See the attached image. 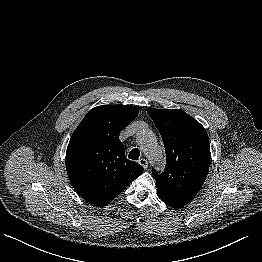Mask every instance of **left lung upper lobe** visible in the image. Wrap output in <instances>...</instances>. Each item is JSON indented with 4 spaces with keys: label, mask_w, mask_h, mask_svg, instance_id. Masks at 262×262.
Masks as SVG:
<instances>
[{
    "label": "left lung upper lobe",
    "mask_w": 262,
    "mask_h": 262,
    "mask_svg": "<svg viewBox=\"0 0 262 262\" xmlns=\"http://www.w3.org/2000/svg\"><path fill=\"white\" fill-rule=\"evenodd\" d=\"M165 146L166 167L153 170L157 195L166 203L185 206L201 189L210 163V144L205 128L180 109L148 108Z\"/></svg>",
    "instance_id": "1"
}]
</instances>
